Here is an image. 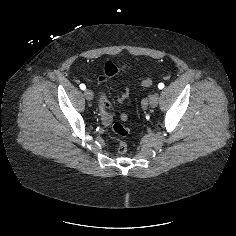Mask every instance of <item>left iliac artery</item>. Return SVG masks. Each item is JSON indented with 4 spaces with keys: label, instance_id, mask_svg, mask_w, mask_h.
I'll use <instances>...</instances> for the list:
<instances>
[{
    "label": "left iliac artery",
    "instance_id": "obj_1",
    "mask_svg": "<svg viewBox=\"0 0 236 236\" xmlns=\"http://www.w3.org/2000/svg\"><path fill=\"white\" fill-rule=\"evenodd\" d=\"M158 88H159V89H163V88H164V84H163V83H159V84H158Z\"/></svg>",
    "mask_w": 236,
    "mask_h": 236
}]
</instances>
